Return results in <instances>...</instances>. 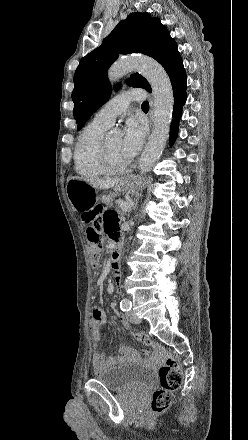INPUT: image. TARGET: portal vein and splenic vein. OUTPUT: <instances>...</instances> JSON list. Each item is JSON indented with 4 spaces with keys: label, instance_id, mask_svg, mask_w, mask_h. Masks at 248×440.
Masks as SVG:
<instances>
[{
    "label": "portal vein and splenic vein",
    "instance_id": "1",
    "mask_svg": "<svg viewBox=\"0 0 248 440\" xmlns=\"http://www.w3.org/2000/svg\"><path fill=\"white\" fill-rule=\"evenodd\" d=\"M117 202H118L120 208L123 209V211H129L131 209L132 205L128 204L127 202L122 201V200H118Z\"/></svg>",
    "mask_w": 248,
    "mask_h": 440
}]
</instances>
